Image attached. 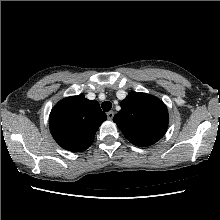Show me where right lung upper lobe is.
<instances>
[{"label":"right lung upper lobe","mask_w":220,"mask_h":220,"mask_svg":"<svg viewBox=\"0 0 220 220\" xmlns=\"http://www.w3.org/2000/svg\"><path fill=\"white\" fill-rule=\"evenodd\" d=\"M106 119L97 101L80 94L58 102L50 113L49 128L62 148L81 152L92 144L96 131Z\"/></svg>","instance_id":"cb5924a9"}]
</instances>
